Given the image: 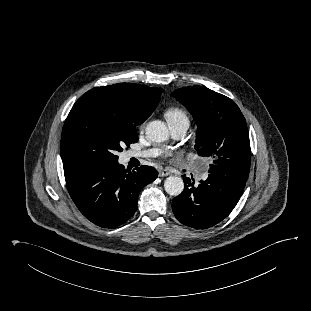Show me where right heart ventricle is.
<instances>
[{
    "instance_id": "e07e8e85",
    "label": "right heart ventricle",
    "mask_w": 311,
    "mask_h": 311,
    "mask_svg": "<svg viewBox=\"0 0 311 311\" xmlns=\"http://www.w3.org/2000/svg\"><path fill=\"white\" fill-rule=\"evenodd\" d=\"M164 116L170 125L186 123L189 125L188 113L181 107L172 106L165 110Z\"/></svg>"
}]
</instances>
